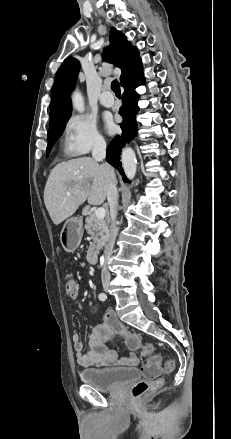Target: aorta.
Returning <instances> with one entry per match:
<instances>
[{
    "instance_id": "1",
    "label": "aorta",
    "mask_w": 231,
    "mask_h": 439,
    "mask_svg": "<svg viewBox=\"0 0 231 439\" xmlns=\"http://www.w3.org/2000/svg\"><path fill=\"white\" fill-rule=\"evenodd\" d=\"M72 103L74 109H76L79 113L84 112L85 110L84 99L82 94L78 90L74 91L72 95ZM122 166L126 176L129 179H133L135 177L137 170V160H136L135 152L133 151L132 148L127 147L122 151ZM103 263H104V257H101L100 264L102 265Z\"/></svg>"
}]
</instances>
